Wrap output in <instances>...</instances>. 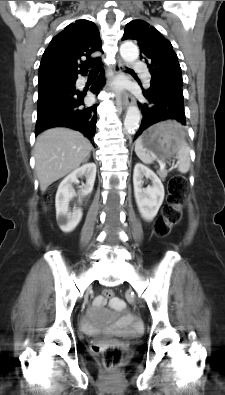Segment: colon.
Returning a JSON list of instances; mask_svg holds the SVG:
<instances>
[{"instance_id":"obj_1","label":"colon","mask_w":225,"mask_h":395,"mask_svg":"<svg viewBox=\"0 0 225 395\" xmlns=\"http://www.w3.org/2000/svg\"><path fill=\"white\" fill-rule=\"evenodd\" d=\"M187 189L186 179L182 176H174L168 182L167 203L162 210V215L156 220L153 226V233L157 237H166L172 228L181 221V204L184 200ZM50 200V194L45 197L46 203ZM103 296L110 298L113 291L105 287ZM95 350L100 353L104 364L108 367H116L120 364L124 356V347L119 342H111L103 346H95Z\"/></svg>"}]
</instances>
